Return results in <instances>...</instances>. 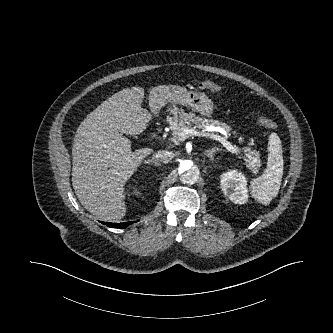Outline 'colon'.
I'll return each instance as SVG.
<instances>
[{
	"label": "colon",
	"mask_w": 333,
	"mask_h": 333,
	"mask_svg": "<svg viewBox=\"0 0 333 333\" xmlns=\"http://www.w3.org/2000/svg\"><path fill=\"white\" fill-rule=\"evenodd\" d=\"M199 88L210 92H219L221 90L220 85L211 80H202L199 83ZM256 122L267 129L274 130L277 128L276 122L264 116H258L256 118Z\"/></svg>",
	"instance_id": "1"
}]
</instances>
